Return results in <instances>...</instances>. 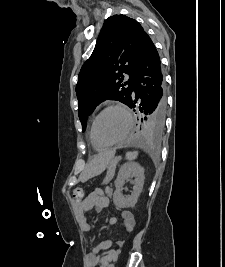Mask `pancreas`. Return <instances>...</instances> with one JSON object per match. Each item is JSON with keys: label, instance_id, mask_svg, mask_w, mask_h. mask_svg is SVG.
Returning a JSON list of instances; mask_svg holds the SVG:
<instances>
[{"label": "pancreas", "instance_id": "pancreas-1", "mask_svg": "<svg viewBox=\"0 0 225 267\" xmlns=\"http://www.w3.org/2000/svg\"><path fill=\"white\" fill-rule=\"evenodd\" d=\"M116 165H117V160L113 159L110 161L108 169H107V175L103 180V184H108L114 177L115 175V169H116Z\"/></svg>", "mask_w": 225, "mask_h": 267}]
</instances>
